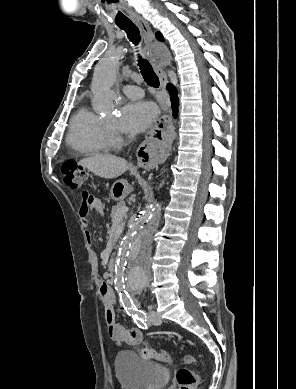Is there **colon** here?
<instances>
[{
	"instance_id": "colon-1",
	"label": "colon",
	"mask_w": 296,
	"mask_h": 389,
	"mask_svg": "<svg viewBox=\"0 0 296 389\" xmlns=\"http://www.w3.org/2000/svg\"><path fill=\"white\" fill-rule=\"evenodd\" d=\"M62 173L65 184L71 189L81 188L86 179L85 170L73 161L63 164ZM142 355L145 358H154L162 362L170 361V355L165 350L155 351L146 347L142 349ZM183 361L187 365L197 366V359L193 355H185ZM176 379L179 389H196L198 384V370L197 368H180L177 371Z\"/></svg>"
}]
</instances>
